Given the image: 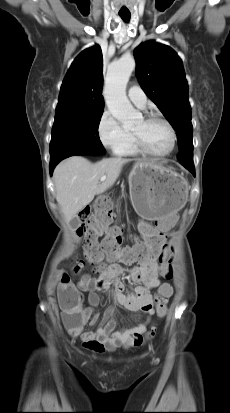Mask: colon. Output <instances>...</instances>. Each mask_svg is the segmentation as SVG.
I'll list each match as a JSON object with an SVG mask.
<instances>
[{
  "label": "colon",
  "instance_id": "colon-1",
  "mask_svg": "<svg viewBox=\"0 0 230 413\" xmlns=\"http://www.w3.org/2000/svg\"><path fill=\"white\" fill-rule=\"evenodd\" d=\"M116 200L118 195L110 192H99V200L92 211L90 205H85L80 209L81 226L78 229V236L81 239L85 258L95 266L96 272L102 274L106 270L103 263L104 258L119 259L125 263H141L157 259L161 265L157 267V272L163 274L166 279H172L173 249L165 242L162 232L150 236L144 242L133 247H121L123 237V226L113 223L114 208L110 199ZM105 232L102 243H97V238ZM82 261L74 263L72 270L77 273L82 268ZM68 280L62 278L61 284H67ZM61 304L66 311L72 314L74 324L80 322L79 313L80 297L74 292H68L61 297ZM167 299L163 296L155 298L157 315L163 317L166 314ZM156 332V327H151L146 337L140 335L133 339L134 346L141 345L146 339L152 337Z\"/></svg>",
  "mask_w": 230,
  "mask_h": 413
}]
</instances>
